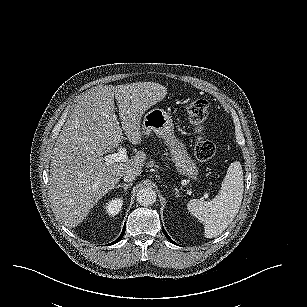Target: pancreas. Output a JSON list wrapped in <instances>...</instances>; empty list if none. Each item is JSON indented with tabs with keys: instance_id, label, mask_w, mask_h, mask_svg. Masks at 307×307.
<instances>
[{
	"instance_id": "obj_1",
	"label": "pancreas",
	"mask_w": 307,
	"mask_h": 307,
	"mask_svg": "<svg viewBox=\"0 0 307 307\" xmlns=\"http://www.w3.org/2000/svg\"><path fill=\"white\" fill-rule=\"evenodd\" d=\"M164 161H168L169 160V157H168V152H165L164 153V158H163Z\"/></svg>"
}]
</instances>
